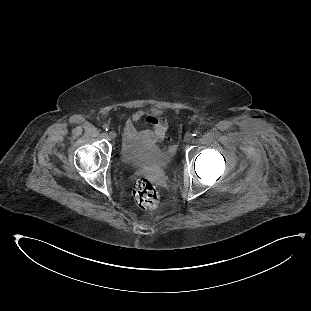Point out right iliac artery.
I'll use <instances>...</instances> for the list:
<instances>
[{"instance_id": "82829eb1", "label": "right iliac artery", "mask_w": 311, "mask_h": 311, "mask_svg": "<svg viewBox=\"0 0 311 311\" xmlns=\"http://www.w3.org/2000/svg\"><path fill=\"white\" fill-rule=\"evenodd\" d=\"M103 129L106 130V131H108V130H109V126H108L107 124H104V125H103Z\"/></svg>"}]
</instances>
